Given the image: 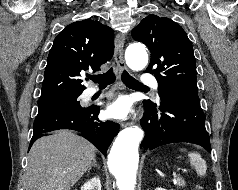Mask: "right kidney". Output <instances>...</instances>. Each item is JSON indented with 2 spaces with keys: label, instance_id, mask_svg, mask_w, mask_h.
Wrapping results in <instances>:
<instances>
[{
  "label": "right kidney",
  "instance_id": "1",
  "mask_svg": "<svg viewBox=\"0 0 238 190\" xmlns=\"http://www.w3.org/2000/svg\"><path fill=\"white\" fill-rule=\"evenodd\" d=\"M81 190H101L100 179L98 177H93L81 187Z\"/></svg>",
  "mask_w": 238,
  "mask_h": 190
}]
</instances>
